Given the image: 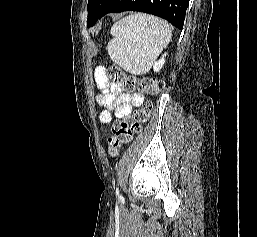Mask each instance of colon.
I'll return each mask as SVG.
<instances>
[{"instance_id":"5ec220e1","label":"colon","mask_w":257,"mask_h":237,"mask_svg":"<svg viewBox=\"0 0 257 237\" xmlns=\"http://www.w3.org/2000/svg\"><path fill=\"white\" fill-rule=\"evenodd\" d=\"M114 85L120 86L125 91H139L155 96L164 88V83L153 76L133 77L126 75L119 67L110 66L106 72ZM153 105L146 102L141 108L128 117L116 121L112 125V135L108 137V152L111 157H116L122 146L132 141L143 125L149 119Z\"/></svg>"}]
</instances>
